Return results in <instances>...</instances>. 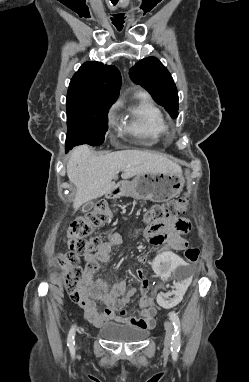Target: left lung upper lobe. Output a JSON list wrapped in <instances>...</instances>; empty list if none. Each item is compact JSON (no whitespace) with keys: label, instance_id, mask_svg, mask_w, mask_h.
Listing matches in <instances>:
<instances>
[{"label":"left lung upper lobe","instance_id":"5c2ea615","mask_svg":"<svg viewBox=\"0 0 249 382\" xmlns=\"http://www.w3.org/2000/svg\"><path fill=\"white\" fill-rule=\"evenodd\" d=\"M131 80L140 84L154 100L170 113L178 116V93L169 71L155 57L136 63L129 71Z\"/></svg>","mask_w":249,"mask_h":382}]
</instances>
